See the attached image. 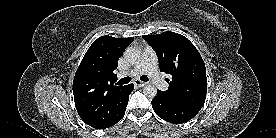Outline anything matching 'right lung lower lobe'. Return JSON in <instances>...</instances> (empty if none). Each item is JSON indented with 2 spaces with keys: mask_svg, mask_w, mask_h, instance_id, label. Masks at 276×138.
Returning <instances> with one entry per match:
<instances>
[{
  "mask_svg": "<svg viewBox=\"0 0 276 138\" xmlns=\"http://www.w3.org/2000/svg\"><path fill=\"white\" fill-rule=\"evenodd\" d=\"M133 86H134L133 84H129V85H128V100H129V94L133 91ZM127 103H128V101H127ZM126 106H127V104H126ZM126 106H125L124 110L122 111V114H121L119 120L124 116L125 110H126ZM119 120H118V121H119ZM118 121H117V122H118Z\"/></svg>",
  "mask_w": 276,
  "mask_h": 138,
  "instance_id": "1",
  "label": "right lung lower lobe"
}]
</instances>
